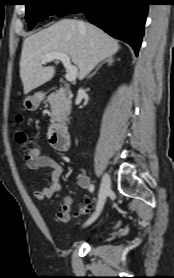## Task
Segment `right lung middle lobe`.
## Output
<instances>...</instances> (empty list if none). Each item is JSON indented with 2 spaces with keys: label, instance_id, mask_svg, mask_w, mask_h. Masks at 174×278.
I'll list each match as a JSON object with an SVG mask.
<instances>
[{
  "label": "right lung middle lobe",
  "instance_id": "right-lung-middle-lobe-1",
  "mask_svg": "<svg viewBox=\"0 0 174 278\" xmlns=\"http://www.w3.org/2000/svg\"><path fill=\"white\" fill-rule=\"evenodd\" d=\"M79 0H25L26 16L30 28L37 21L51 15L59 17L67 14Z\"/></svg>",
  "mask_w": 174,
  "mask_h": 278
}]
</instances>
